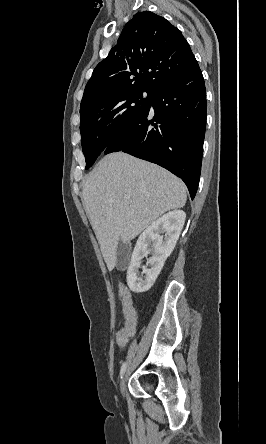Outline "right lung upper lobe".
Returning <instances> with one entry per match:
<instances>
[{
	"label": "right lung upper lobe",
	"mask_w": 266,
	"mask_h": 444,
	"mask_svg": "<svg viewBox=\"0 0 266 444\" xmlns=\"http://www.w3.org/2000/svg\"><path fill=\"white\" fill-rule=\"evenodd\" d=\"M198 63L178 28L152 12H138L125 25L117 44L94 69L80 109L113 92H153L189 75Z\"/></svg>",
	"instance_id": "right-lung-upper-lobe-1"
}]
</instances>
